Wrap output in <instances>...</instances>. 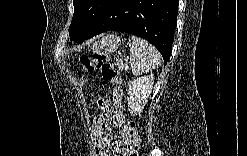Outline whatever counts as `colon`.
Listing matches in <instances>:
<instances>
[{
	"mask_svg": "<svg viewBox=\"0 0 247 156\" xmlns=\"http://www.w3.org/2000/svg\"><path fill=\"white\" fill-rule=\"evenodd\" d=\"M80 65L85 72L100 71L105 81L109 82L113 89L121 86L122 80L119 71L111 60L104 54H93L91 56L83 55L80 58ZM128 132L131 136L130 148L126 155L136 156L140 147V135L136 124L129 121Z\"/></svg>",
	"mask_w": 247,
	"mask_h": 156,
	"instance_id": "5ec220e1",
	"label": "colon"
}]
</instances>
